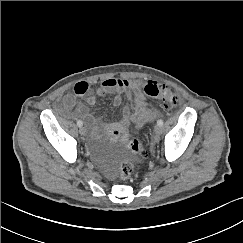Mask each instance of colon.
Wrapping results in <instances>:
<instances>
[{
	"mask_svg": "<svg viewBox=\"0 0 243 243\" xmlns=\"http://www.w3.org/2000/svg\"><path fill=\"white\" fill-rule=\"evenodd\" d=\"M143 91L147 96L158 100L165 108L174 107L179 101L178 95L170 87L156 81H148L144 85ZM126 148L140 158H144L147 154L142 142L136 138L129 140L126 143ZM133 170L134 166L130 160L122 161L119 167L120 178L123 181L129 180Z\"/></svg>",
	"mask_w": 243,
	"mask_h": 243,
	"instance_id": "5ec220e1",
	"label": "colon"
}]
</instances>
